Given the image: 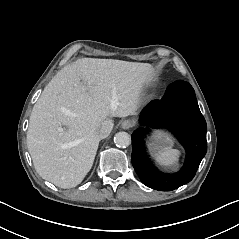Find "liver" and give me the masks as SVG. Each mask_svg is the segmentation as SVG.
I'll use <instances>...</instances> for the list:
<instances>
[{
  "label": "liver",
  "instance_id": "obj_1",
  "mask_svg": "<svg viewBox=\"0 0 239 239\" xmlns=\"http://www.w3.org/2000/svg\"><path fill=\"white\" fill-rule=\"evenodd\" d=\"M155 75L148 63L114 59L82 58L64 66L30 116L27 146L37 173L63 189L80 184L96 156L97 130L111 117L135 115L140 94ZM76 140L82 141L66 146Z\"/></svg>",
  "mask_w": 239,
  "mask_h": 239
}]
</instances>
